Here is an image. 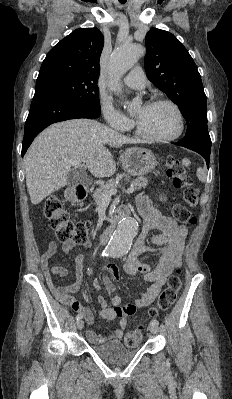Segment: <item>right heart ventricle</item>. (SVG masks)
I'll list each match as a JSON object with an SVG mask.
<instances>
[{
    "mask_svg": "<svg viewBox=\"0 0 232 399\" xmlns=\"http://www.w3.org/2000/svg\"><path fill=\"white\" fill-rule=\"evenodd\" d=\"M129 128H130V126H129V127H127V128H125V129H123V131H127V130H129Z\"/></svg>",
    "mask_w": 232,
    "mask_h": 399,
    "instance_id": "obj_1",
    "label": "right heart ventricle"
}]
</instances>
